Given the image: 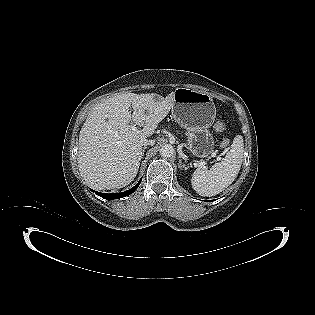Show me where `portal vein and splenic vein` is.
<instances>
[{
	"mask_svg": "<svg viewBox=\"0 0 315 315\" xmlns=\"http://www.w3.org/2000/svg\"><path fill=\"white\" fill-rule=\"evenodd\" d=\"M131 128H132L133 130H136V129H137L136 125H132ZM218 159H220V157H218Z\"/></svg>",
	"mask_w": 315,
	"mask_h": 315,
	"instance_id": "18ae733b",
	"label": "portal vein and splenic vein"
}]
</instances>
